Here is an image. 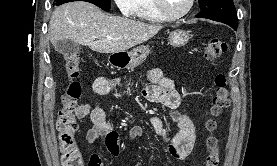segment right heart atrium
<instances>
[{
    "instance_id": "1",
    "label": "right heart atrium",
    "mask_w": 277,
    "mask_h": 166,
    "mask_svg": "<svg viewBox=\"0 0 277 166\" xmlns=\"http://www.w3.org/2000/svg\"><path fill=\"white\" fill-rule=\"evenodd\" d=\"M114 2L119 10L125 15H130L135 5V0H114Z\"/></svg>"
}]
</instances>
